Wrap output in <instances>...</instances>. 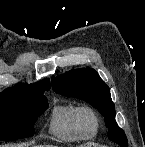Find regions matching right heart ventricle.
I'll return each mask as SVG.
<instances>
[{
	"label": "right heart ventricle",
	"mask_w": 145,
	"mask_h": 147,
	"mask_svg": "<svg viewBox=\"0 0 145 147\" xmlns=\"http://www.w3.org/2000/svg\"><path fill=\"white\" fill-rule=\"evenodd\" d=\"M82 107L72 102L54 105L49 131L53 136L65 141L86 140L95 136L96 131L84 125L81 120Z\"/></svg>",
	"instance_id": "e07e8e85"
}]
</instances>
